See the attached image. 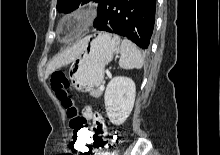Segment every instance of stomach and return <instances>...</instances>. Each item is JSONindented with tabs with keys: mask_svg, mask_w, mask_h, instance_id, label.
I'll return each mask as SVG.
<instances>
[{
	"mask_svg": "<svg viewBox=\"0 0 220 155\" xmlns=\"http://www.w3.org/2000/svg\"><path fill=\"white\" fill-rule=\"evenodd\" d=\"M119 50L120 38L115 34L100 33L86 37L82 52L69 68L73 87L92 95L103 81L105 66Z\"/></svg>",
	"mask_w": 220,
	"mask_h": 155,
	"instance_id": "stomach-1",
	"label": "stomach"
}]
</instances>
